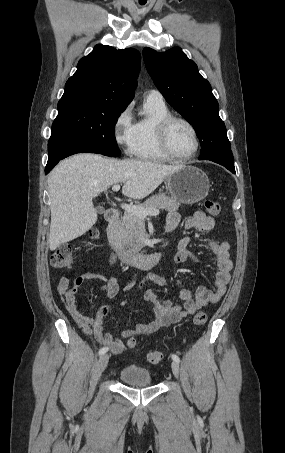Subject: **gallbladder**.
I'll use <instances>...</instances> for the list:
<instances>
[{"label":"gallbladder","instance_id":"gallbladder-1","mask_svg":"<svg viewBox=\"0 0 285 453\" xmlns=\"http://www.w3.org/2000/svg\"><path fill=\"white\" fill-rule=\"evenodd\" d=\"M96 210H97L98 213H103L104 212V208L102 206H97Z\"/></svg>","mask_w":285,"mask_h":453}]
</instances>
